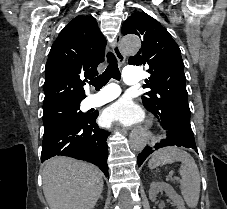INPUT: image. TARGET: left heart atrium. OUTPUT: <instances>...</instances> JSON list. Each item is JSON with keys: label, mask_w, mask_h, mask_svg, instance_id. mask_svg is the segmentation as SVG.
<instances>
[{"label": "left heart atrium", "mask_w": 227, "mask_h": 209, "mask_svg": "<svg viewBox=\"0 0 227 209\" xmlns=\"http://www.w3.org/2000/svg\"><path fill=\"white\" fill-rule=\"evenodd\" d=\"M143 118L142 109L128 99H121L110 104L102 114L101 122L108 126L112 122H119L125 126L138 123Z\"/></svg>", "instance_id": "1"}]
</instances>
